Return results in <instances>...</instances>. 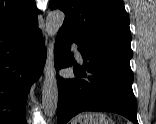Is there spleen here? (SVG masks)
I'll list each match as a JSON object with an SVG mask.
<instances>
[{"label":"spleen","mask_w":156,"mask_h":124,"mask_svg":"<svg viewBox=\"0 0 156 124\" xmlns=\"http://www.w3.org/2000/svg\"><path fill=\"white\" fill-rule=\"evenodd\" d=\"M91 115H92L91 113L86 114V116H91Z\"/></svg>","instance_id":"obj_1"}]
</instances>
